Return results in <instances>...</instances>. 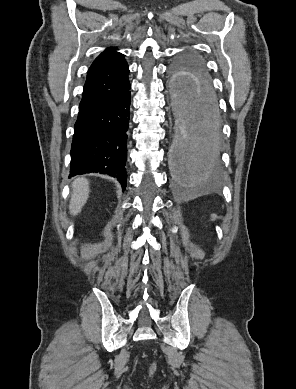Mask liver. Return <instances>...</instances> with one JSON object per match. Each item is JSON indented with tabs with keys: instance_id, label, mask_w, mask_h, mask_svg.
I'll use <instances>...</instances> for the list:
<instances>
[{
	"instance_id": "1",
	"label": "liver",
	"mask_w": 296,
	"mask_h": 389,
	"mask_svg": "<svg viewBox=\"0 0 296 389\" xmlns=\"http://www.w3.org/2000/svg\"><path fill=\"white\" fill-rule=\"evenodd\" d=\"M72 196L69 204L70 213L75 216L81 212L89 197V182L83 177H77L72 183Z\"/></svg>"
}]
</instances>
